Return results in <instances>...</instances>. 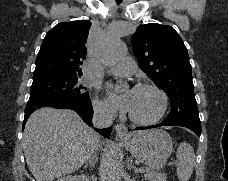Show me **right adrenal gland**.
Returning <instances> with one entry per match:
<instances>
[{
    "label": "right adrenal gland",
    "mask_w": 228,
    "mask_h": 181,
    "mask_svg": "<svg viewBox=\"0 0 228 181\" xmlns=\"http://www.w3.org/2000/svg\"><path fill=\"white\" fill-rule=\"evenodd\" d=\"M96 163H97V159H95V161H94V157H92V159H90V161H88V163H86L85 167H83V169H87V167H90L91 171H93Z\"/></svg>",
    "instance_id": "obj_1"
}]
</instances>
